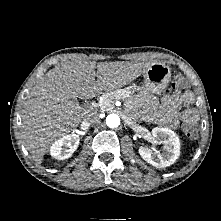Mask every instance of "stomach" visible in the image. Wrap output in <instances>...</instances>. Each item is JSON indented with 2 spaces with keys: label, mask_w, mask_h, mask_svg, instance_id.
<instances>
[{
  "label": "stomach",
  "mask_w": 221,
  "mask_h": 221,
  "mask_svg": "<svg viewBox=\"0 0 221 221\" xmlns=\"http://www.w3.org/2000/svg\"><path fill=\"white\" fill-rule=\"evenodd\" d=\"M144 80L140 89V92L151 95L159 96L165 92L170 80H171V69L163 63H152L144 71Z\"/></svg>",
  "instance_id": "0dacf381"
}]
</instances>
